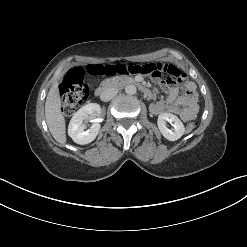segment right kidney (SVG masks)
I'll use <instances>...</instances> for the list:
<instances>
[{
	"mask_svg": "<svg viewBox=\"0 0 247 247\" xmlns=\"http://www.w3.org/2000/svg\"><path fill=\"white\" fill-rule=\"evenodd\" d=\"M101 108L96 103H89L81 107L72 117L69 126H68V135L72 140L80 145L89 144L92 142L99 133L100 124L97 120H94V123L90 129L85 130L86 126L82 123L83 120L87 117L97 118L99 117Z\"/></svg>",
	"mask_w": 247,
	"mask_h": 247,
	"instance_id": "obj_1",
	"label": "right kidney"
}]
</instances>
